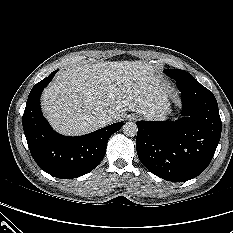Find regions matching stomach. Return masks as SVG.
<instances>
[{"mask_svg":"<svg viewBox=\"0 0 233 233\" xmlns=\"http://www.w3.org/2000/svg\"><path fill=\"white\" fill-rule=\"evenodd\" d=\"M169 113H170V103L167 100L162 106V110L160 112V119H165Z\"/></svg>","mask_w":233,"mask_h":233,"instance_id":"stomach-1","label":"stomach"}]
</instances>
